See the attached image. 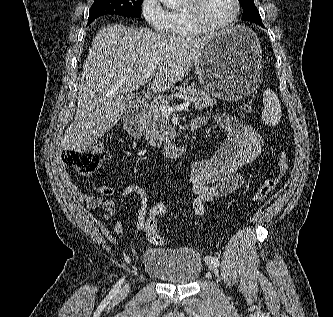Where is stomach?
<instances>
[{
  "label": "stomach",
  "instance_id": "1",
  "mask_svg": "<svg viewBox=\"0 0 333 317\" xmlns=\"http://www.w3.org/2000/svg\"><path fill=\"white\" fill-rule=\"evenodd\" d=\"M204 90L218 99L241 100L258 95L261 47L256 34L243 25L212 35L195 61Z\"/></svg>",
  "mask_w": 333,
  "mask_h": 317
}]
</instances>
